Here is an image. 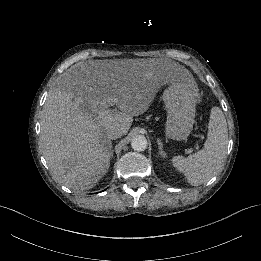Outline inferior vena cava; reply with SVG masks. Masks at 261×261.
<instances>
[{"mask_svg":"<svg viewBox=\"0 0 261 261\" xmlns=\"http://www.w3.org/2000/svg\"><path fill=\"white\" fill-rule=\"evenodd\" d=\"M122 135H123V131L118 128L112 129L111 131L108 132V137L110 139L120 138Z\"/></svg>","mask_w":261,"mask_h":261,"instance_id":"obj_1","label":"inferior vena cava"}]
</instances>
